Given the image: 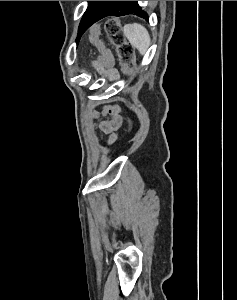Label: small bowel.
<instances>
[{
  "label": "small bowel",
  "mask_w": 237,
  "mask_h": 300,
  "mask_svg": "<svg viewBox=\"0 0 237 300\" xmlns=\"http://www.w3.org/2000/svg\"><path fill=\"white\" fill-rule=\"evenodd\" d=\"M99 73L107 80L115 82L119 78V74L116 69L112 67H101L96 65ZM107 117L99 125V129L104 134L109 136L108 142L113 143L117 138V131L121 127L122 118L118 113V109L115 106H104L101 111L94 113V118Z\"/></svg>",
  "instance_id": "c3829d8e"
}]
</instances>
